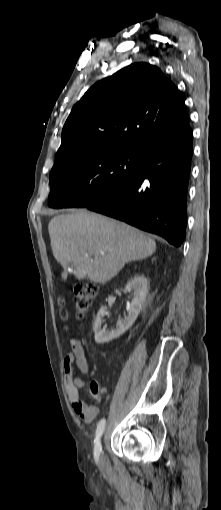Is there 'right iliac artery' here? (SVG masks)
Returning <instances> with one entry per match:
<instances>
[{"label": "right iliac artery", "mask_w": 221, "mask_h": 510, "mask_svg": "<svg viewBox=\"0 0 221 510\" xmlns=\"http://www.w3.org/2000/svg\"><path fill=\"white\" fill-rule=\"evenodd\" d=\"M105 423H106L105 419H101L97 425L96 437H95V447H94L95 457H98L99 454L102 452V446L100 443V439H101V436L105 429Z\"/></svg>", "instance_id": "1"}]
</instances>
